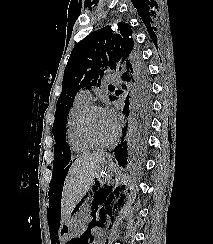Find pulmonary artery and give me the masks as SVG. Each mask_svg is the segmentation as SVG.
Listing matches in <instances>:
<instances>
[{
	"mask_svg": "<svg viewBox=\"0 0 213 244\" xmlns=\"http://www.w3.org/2000/svg\"><path fill=\"white\" fill-rule=\"evenodd\" d=\"M108 80H109L110 82H116V81H117V76H116V75H110V76L108 77ZM79 96H80L81 98H84V99L88 100V101H91V100H92L91 94H90L89 91H87V90H82V91L79 93Z\"/></svg>",
	"mask_w": 213,
	"mask_h": 244,
	"instance_id": "1",
	"label": "pulmonary artery"
}]
</instances>
